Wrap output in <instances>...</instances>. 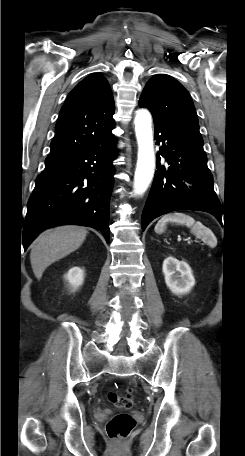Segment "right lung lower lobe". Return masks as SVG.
<instances>
[{
	"label": "right lung lower lobe",
	"mask_w": 245,
	"mask_h": 456,
	"mask_svg": "<svg viewBox=\"0 0 245 456\" xmlns=\"http://www.w3.org/2000/svg\"><path fill=\"white\" fill-rule=\"evenodd\" d=\"M115 144L112 133L106 134L81 153L45 166L36 178L27 205L25 250L41 231L65 224L97 229L109 242Z\"/></svg>",
	"instance_id": "obj_1"
}]
</instances>
